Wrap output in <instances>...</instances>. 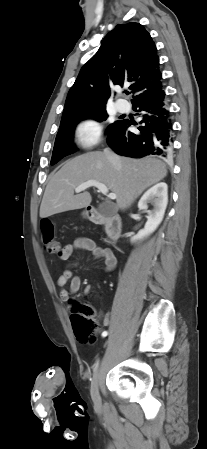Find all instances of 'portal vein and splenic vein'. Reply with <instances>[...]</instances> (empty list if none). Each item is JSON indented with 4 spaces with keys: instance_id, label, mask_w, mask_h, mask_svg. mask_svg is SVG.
Here are the masks:
<instances>
[{
    "instance_id": "portal-vein-and-splenic-vein-1",
    "label": "portal vein and splenic vein",
    "mask_w": 207,
    "mask_h": 449,
    "mask_svg": "<svg viewBox=\"0 0 207 449\" xmlns=\"http://www.w3.org/2000/svg\"><path fill=\"white\" fill-rule=\"evenodd\" d=\"M90 187H96L99 190V192H101L104 195L108 194L107 186L105 184H103V183H101L99 181H95V180H90V181L82 183L81 185H79L75 189V192L76 193H80V192H82V191H84V190H86L87 188H90ZM107 196L110 199H116V194H114V193H110Z\"/></svg>"
}]
</instances>
